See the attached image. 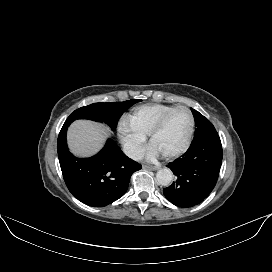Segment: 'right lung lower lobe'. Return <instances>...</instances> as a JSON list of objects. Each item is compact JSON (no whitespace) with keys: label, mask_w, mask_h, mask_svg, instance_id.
<instances>
[{"label":"right lung lower lobe","mask_w":272,"mask_h":272,"mask_svg":"<svg viewBox=\"0 0 272 272\" xmlns=\"http://www.w3.org/2000/svg\"><path fill=\"white\" fill-rule=\"evenodd\" d=\"M72 122L65 121L57 141L66 186L74 197L86 205L103 207L111 204L124 195L131 175L140 170L141 165L128 158L111 139L93 157H74L66 143L67 128Z\"/></svg>","instance_id":"98d812e1"}]
</instances>
